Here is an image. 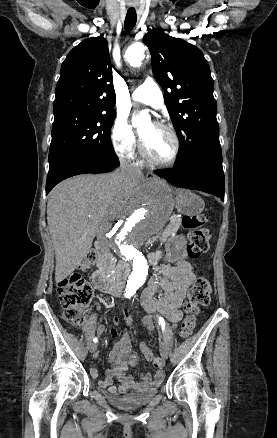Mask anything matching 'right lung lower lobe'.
Segmentation results:
<instances>
[{
  "mask_svg": "<svg viewBox=\"0 0 277 438\" xmlns=\"http://www.w3.org/2000/svg\"><path fill=\"white\" fill-rule=\"evenodd\" d=\"M119 166L117 157L95 156L87 159L73 160L49 171L46 182V194L62 180L85 173H107Z\"/></svg>",
  "mask_w": 277,
  "mask_h": 438,
  "instance_id": "right-lung-lower-lobe-1",
  "label": "right lung lower lobe"
}]
</instances>
